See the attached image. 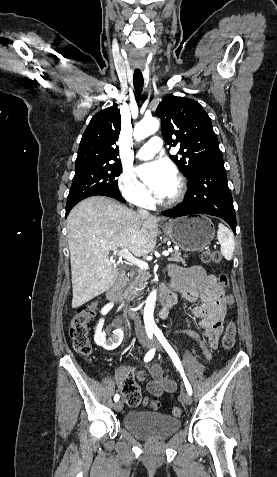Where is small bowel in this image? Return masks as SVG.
Listing matches in <instances>:
<instances>
[{"mask_svg": "<svg viewBox=\"0 0 277 477\" xmlns=\"http://www.w3.org/2000/svg\"><path fill=\"white\" fill-rule=\"evenodd\" d=\"M169 272L173 278L172 286L181 298L194 302L201 300V305L193 309L192 315L198 320L200 332L188 330L186 334L190 336L204 352L206 358L210 360V348H215L224 330V319L226 315L225 286L221 285L214 275H208L200 266L182 268L172 265ZM176 298L177 294L173 293ZM150 379L144 371L135 374V378L140 382H146V388L150 394L159 397L163 393H172L177 385L169 376L164 375L159 364L155 363L149 367ZM124 382L133 380V370L130 367L122 369ZM143 405L150 404L149 399L144 398Z\"/></svg>", "mask_w": 277, "mask_h": 477, "instance_id": "small-bowel-1", "label": "small bowel"}]
</instances>
